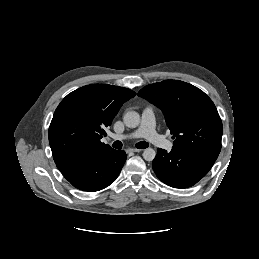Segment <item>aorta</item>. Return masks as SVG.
I'll use <instances>...</instances> for the list:
<instances>
[{"label":"aorta","instance_id":"obj_1","mask_svg":"<svg viewBox=\"0 0 259 259\" xmlns=\"http://www.w3.org/2000/svg\"><path fill=\"white\" fill-rule=\"evenodd\" d=\"M124 124L129 128H136L140 124V115L136 111H128L123 117ZM156 152L153 148H146L143 152V158L146 161H153Z\"/></svg>","mask_w":259,"mask_h":259}]
</instances>
